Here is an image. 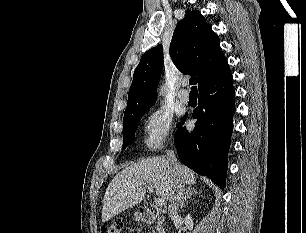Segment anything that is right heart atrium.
<instances>
[{
	"mask_svg": "<svg viewBox=\"0 0 306 233\" xmlns=\"http://www.w3.org/2000/svg\"><path fill=\"white\" fill-rule=\"evenodd\" d=\"M145 147L156 151L164 147L171 138L173 129V115L164 108H156L144 120Z\"/></svg>",
	"mask_w": 306,
	"mask_h": 233,
	"instance_id": "1",
	"label": "right heart atrium"
}]
</instances>
